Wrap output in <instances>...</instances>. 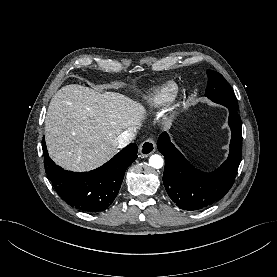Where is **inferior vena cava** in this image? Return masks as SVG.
<instances>
[{"label": "inferior vena cava", "mask_w": 277, "mask_h": 277, "mask_svg": "<svg viewBox=\"0 0 277 277\" xmlns=\"http://www.w3.org/2000/svg\"><path fill=\"white\" fill-rule=\"evenodd\" d=\"M135 136H136L135 128H130V129L124 131L117 138V141H116L117 147L123 148V147L127 146Z\"/></svg>", "instance_id": "1"}]
</instances>
